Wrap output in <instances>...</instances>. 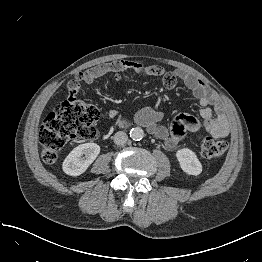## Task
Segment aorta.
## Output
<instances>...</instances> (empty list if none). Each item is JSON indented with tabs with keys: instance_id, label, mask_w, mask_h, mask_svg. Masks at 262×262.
I'll list each match as a JSON object with an SVG mask.
<instances>
[{
	"instance_id": "1",
	"label": "aorta",
	"mask_w": 262,
	"mask_h": 262,
	"mask_svg": "<svg viewBox=\"0 0 262 262\" xmlns=\"http://www.w3.org/2000/svg\"><path fill=\"white\" fill-rule=\"evenodd\" d=\"M130 137L134 141H140L144 137V131L140 127H135L130 130Z\"/></svg>"
}]
</instances>
